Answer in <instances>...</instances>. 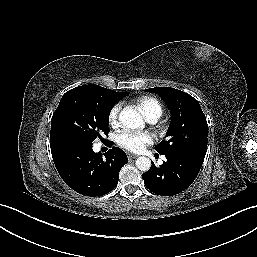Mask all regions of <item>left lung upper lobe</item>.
I'll use <instances>...</instances> for the list:
<instances>
[{"mask_svg": "<svg viewBox=\"0 0 257 257\" xmlns=\"http://www.w3.org/2000/svg\"><path fill=\"white\" fill-rule=\"evenodd\" d=\"M168 105L171 123L166 133L167 139L156 147L160 154L188 153L205 157L207 150V121L198 103L191 95L170 87L149 88Z\"/></svg>", "mask_w": 257, "mask_h": 257, "instance_id": "obj_1", "label": "left lung upper lobe"}]
</instances>
